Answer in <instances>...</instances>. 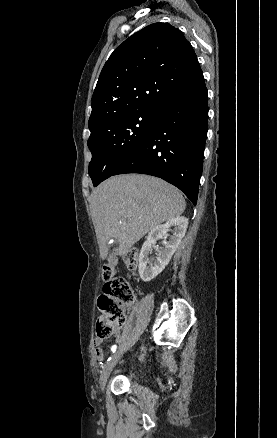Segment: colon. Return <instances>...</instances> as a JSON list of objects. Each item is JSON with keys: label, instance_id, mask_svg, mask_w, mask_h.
Instances as JSON below:
<instances>
[{"label": "colon", "instance_id": "obj_1", "mask_svg": "<svg viewBox=\"0 0 277 438\" xmlns=\"http://www.w3.org/2000/svg\"><path fill=\"white\" fill-rule=\"evenodd\" d=\"M139 248H130L127 252L120 253V260L127 261L126 265L130 271L138 266V261L133 257H139ZM118 261L117 256L108 258L107 263L101 266V277L107 283L99 286V297L95 304L99 306L101 313L100 320L94 330V341L101 342L125 322V305L133 301V292L128 283L118 277L115 271Z\"/></svg>", "mask_w": 277, "mask_h": 438}]
</instances>
